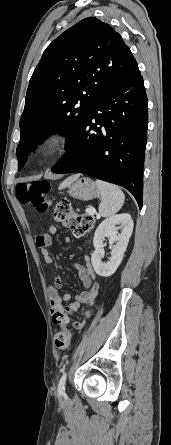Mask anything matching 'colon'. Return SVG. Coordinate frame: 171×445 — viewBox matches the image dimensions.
Segmentation results:
<instances>
[{
  "instance_id": "5ec220e1",
  "label": "colon",
  "mask_w": 171,
  "mask_h": 445,
  "mask_svg": "<svg viewBox=\"0 0 171 445\" xmlns=\"http://www.w3.org/2000/svg\"><path fill=\"white\" fill-rule=\"evenodd\" d=\"M49 191L50 184L47 181L38 180L30 184H19L16 188V196L25 207L44 213L50 204L47 198ZM53 216L57 222L68 227L76 237L86 236L93 226L92 217L88 214L75 213L68 199H62L56 204ZM89 315L90 313L87 312L86 316ZM54 322L61 327L55 335V344L59 349H65L70 341V334L65 328L68 317L66 314H57Z\"/></svg>"
}]
</instances>
